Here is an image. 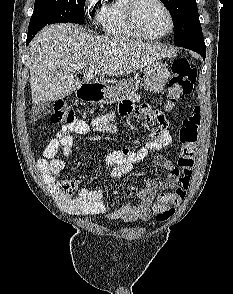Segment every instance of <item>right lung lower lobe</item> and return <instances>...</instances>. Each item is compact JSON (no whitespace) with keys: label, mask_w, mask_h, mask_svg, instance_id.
Returning a JSON list of instances; mask_svg holds the SVG:
<instances>
[{"label":"right lung lower lobe","mask_w":233,"mask_h":294,"mask_svg":"<svg viewBox=\"0 0 233 294\" xmlns=\"http://www.w3.org/2000/svg\"><path fill=\"white\" fill-rule=\"evenodd\" d=\"M33 37H34L33 35H28V36H27V42H26V45H28V43L31 41V39H32Z\"/></svg>","instance_id":"1"}]
</instances>
